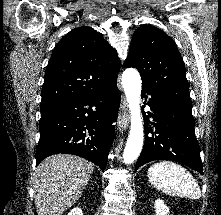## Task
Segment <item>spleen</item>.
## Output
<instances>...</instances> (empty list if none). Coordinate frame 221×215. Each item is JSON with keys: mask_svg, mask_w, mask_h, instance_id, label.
I'll use <instances>...</instances> for the list:
<instances>
[{"mask_svg": "<svg viewBox=\"0 0 221 215\" xmlns=\"http://www.w3.org/2000/svg\"><path fill=\"white\" fill-rule=\"evenodd\" d=\"M150 183L168 195L191 199L201 197V190L193 176L184 167L174 162H158L148 169Z\"/></svg>", "mask_w": 221, "mask_h": 215, "instance_id": "3e777b00", "label": "spleen"}]
</instances>
